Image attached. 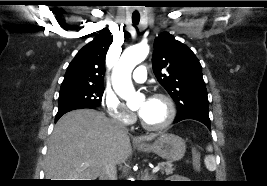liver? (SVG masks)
Instances as JSON below:
<instances>
[{
  "mask_svg": "<svg viewBox=\"0 0 267 186\" xmlns=\"http://www.w3.org/2000/svg\"><path fill=\"white\" fill-rule=\"evenodd\" d=\"M150 134L140 140L151 141ZM131 153L128 133L93 109L65 114L56 124L45 157V177L51 180H96L109 162L123 163Z\"/></svg>",
  "mask_w": 267,
  "mask_h": 186,
  "instance_id": "1",
  "label": "liver"
}]
</instances>
